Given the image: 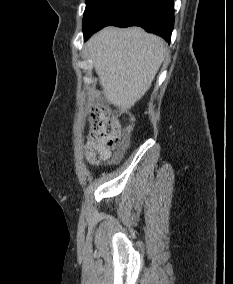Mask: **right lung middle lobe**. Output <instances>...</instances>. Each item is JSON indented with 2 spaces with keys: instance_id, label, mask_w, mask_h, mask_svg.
Returning <instances> with one entry per match:
<instances>
[{
  "instance_id": "right-lung-middle-lobe-1",
  "label": "right lung middle lobe",
  "mask_w": 233,
  "mask_h": 284,
  "mask_svg": "<svg viewBox=\"0 0 233 284\" xmlns=\"http://www.w3.org/2000/svg\"><path fill=\"white\" fill-rule=\"evenodd\" d=\"M111 0H86L83 28H86Z\"/></svg>"
}]
</instances>
